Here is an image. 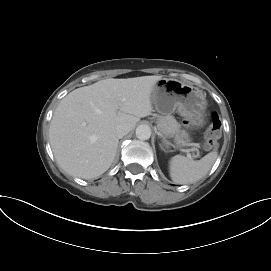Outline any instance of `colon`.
Listing matches in <instances>:
<instances>
[{
	"instance_id": "colon-1",
	"label": "colon",
	"mask_w": 271,
	"mask_h": 271,
	"mask_svg": "<svg viewBox=\"0 0 271 271\" xmlns=\"http://www.w3.org/2000/svg\"><path fill=\"white\" fill-rule=\"evenodd\" d=\"M220 135V121L215 113L208 116V129L205 134L204 147L211 149L217 144Z\"/></svg>"
}]
</instances>
